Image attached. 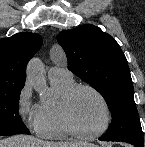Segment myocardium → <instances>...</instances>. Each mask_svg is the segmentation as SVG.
Instances as JSON below:
<instances>
[{"label": "myocardium", "mask_w": 145, "mask_h": 147, "mask_svg": "<svg viewBox=\"0 0 145 147\" xmlns=\"http://www.w3.org/2000/svg\"><path fill=\"white\" fill-rule=\"evenodd\" d=\"M82 90H88L92 92L93 94H95L98 97V99L101 101V103L103 104L105 112H106V120H105L104 126L101 129L94 132H87V131H84L82 128H80L77 122L75 121L73 113H72L73 100L76 97V95ZM61 112H62L63 119L66 125L68 126V128L70 129V131L74 135L81 138H85V139L96 138L104 134L108 130L112 122V110L106 97L97 88L89 84H75L62 99Z\"/></svg>", "instance_id": "1"}]
</instances>
